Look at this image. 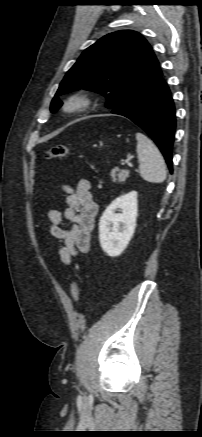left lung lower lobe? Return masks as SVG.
<instances>
[{"label":"left lung lower lobe","mask_w":202,"mask_h":437,"mask_svg":"<svg viewBox=\"0 0 202 437\" xmlns=\"http://www.w3.org/2000/svg\"><path fill=\"white\" fill-rule=\"evenodd\" d=\"M111 113L125 116L140 126L157 144L170 173L173 172L175 107L162 73L144 89L112 109Z\"/></svg>","instance_id":"obj_1"}]
</instances>
